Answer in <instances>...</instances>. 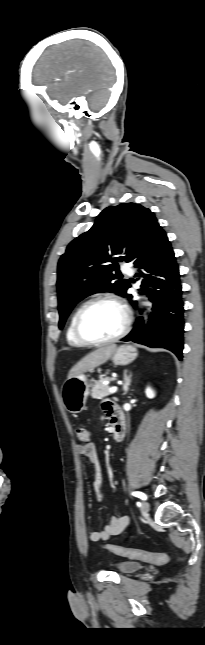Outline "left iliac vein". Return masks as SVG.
Masks as SVG:
<instances>
[{
  "instance_id": "1",
  "label": "left iliac vein",
  "mask_w": 205,
  "mask_h": 645,
  "mask_svg": "<svg viewBox=\"0 0 205 645\" xmlns=\"http://www.w3.org/2000/svg\"><path fill=\"white\" fill-rule=\"evenodd\" d=\"M149 509H150L149 503L147 501H143L141 504L142 514L147 515L149 513Z\"/></svg>"
}]
</instances>
